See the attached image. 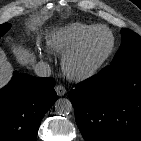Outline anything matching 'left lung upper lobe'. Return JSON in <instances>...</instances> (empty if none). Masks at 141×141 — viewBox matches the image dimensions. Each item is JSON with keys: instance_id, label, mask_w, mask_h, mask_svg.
<instances>
[{"instance_id": "1", "label": "left lung upper lobe", "mask_w": 141, "mask_h": 141, "mask_svg": "<svg viewBox=\"0 0 141 141\" xmlns=\"http://www.w3.org/2000/svg\"><path fill=\"white\" fill-rule=\"evenodd\" d=\"M122 43L111 64L141 57V37L126 28L121 30Z\"/></svg>"}]
</instances>
